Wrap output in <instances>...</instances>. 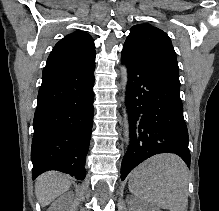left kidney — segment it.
I'll list each match as a JSON object with an SVG mask.
<instances>
[{"label":"left kidney","instance_id":"1","mask_svg":"<svg viewBox=\"0 0 219 211\" xmlns=\"http://www.w3.org/2000/svg\"><path fill=\"white\" fill-rule=\"evenodd\" d=\"M134 211H160V209L154 205H137L134 207Z\"/></svg>","mask_w":219,"mask_h":211}]
</instances>
